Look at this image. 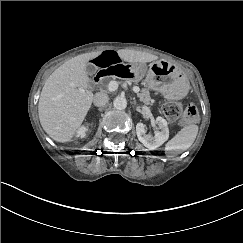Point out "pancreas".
Wrapping results in <instances>:
<instances>
[{"instance_id": "cf45deb5", "label": "pancreas", "mask_w": 243, "mask_h": 243, "mask_svg": "<svg viewBox=\"0 0 243 243\" xmlns=\"http://www.w3.org/2000/svg\"><path fill=\"white\" fill-rule=\"evenodd\" d=\"M137 96L139 97L140 101H142L144 104H152L148 89H143L140 93L137 94Z\"/></svg>"}]
</instances>
